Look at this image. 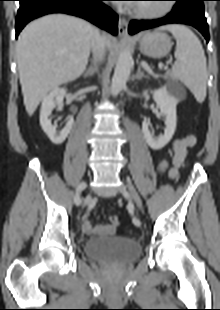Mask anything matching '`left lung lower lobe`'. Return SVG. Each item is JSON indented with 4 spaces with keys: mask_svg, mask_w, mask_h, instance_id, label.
<instances>
[{
    "mask_svg": "<svg viewBox=\"0 0 220 310\" xmlns=\"http://www.w3.org/2000/svg\"><path fill=\"white\" fill-rule=\"evenodd\" d=\"M173 1H176V4L167 16L157 20H133L129 25V33L135 34L141 30L166 24H186L198 29L208 42L209 28L204 16V9L191 3L180 4L178 0Z\"/></svg>",
    "mask_w": 220,
    "mask_h": 310,
    "instance_id": "0a47b994",
    "label": "left lung lower lobe"
}]
</instances>
